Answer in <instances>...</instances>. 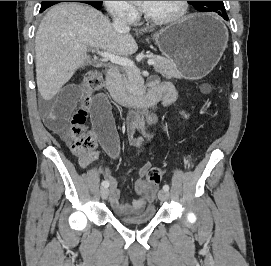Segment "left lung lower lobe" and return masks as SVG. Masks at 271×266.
Wrapping results in <instances>:
<instances>
[{"instance_id":"0a47b994","label":"left lung lower lobe","mask_w":271,"mask_h":266,"mask_svg":"<svg viewBox=\"0 0 271 266\" xmlns=\"http://www.w3.org/2000/svg\"><path fill=\"white\" fill-rule=\"evenodd\" d=\"M218 15H220L221 17H223L225 20H227L228 21V16H227V14L226 13H220V14H218Z\"/></svg>"}]
</instances>
